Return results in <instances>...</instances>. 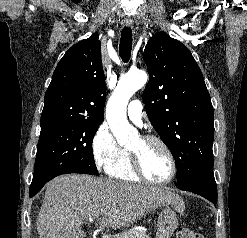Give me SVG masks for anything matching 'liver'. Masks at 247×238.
Segmentation results:
<instances>
[{
	"mask_svg": "<svg viewBox=\"0 0 247 238\" xmlns=\"http://www.w3.org/2000/svg\"><path fill=\"white\" fill-rule=\"evenodd\" d=\"M165 204L180 208L181 198L161 187L122 183L84 174L59 176L46 186L37 217L39 238H84L82 224L100 217V227H128Z\"/></svg>",
	"mask_w": 247,
	"mask_h": 238,
	"instance_id": "1",
	"label": "liver"
}]
</instances>
